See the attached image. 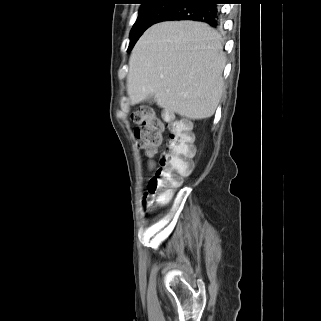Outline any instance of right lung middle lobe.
<instances>
[{
  "label": "right lung middle lobe",
  "instance_id": "obj_1",
  "mask_svg": "<svg viewBox=\"0 0 321 321\" xmlns=\"http://www.w3.org/2000/svg\"><path fill=\"white\" fill-rule=\"evenodd\" d=\"M175 4V0H154L142 4L139 9L137 20L130 32L128 51L133 48L143 32L153 24L158 23L162 14L172 8Z\"/></svg>",
  "mask_w": 321,
  "mask_h": 321
}]
</instances>
